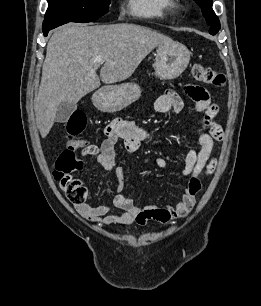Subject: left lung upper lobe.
<instances>
[{
  "mask_svg": "<svg viewBox=\"0 0 261 306\" xmlns=\"http://www.w3.org/2000/svg\"><path fill=\"white\" fill-rule=\"evenodd\" d=\"M200 7L207 23L210 25L209 33L215 35L220 29V22L212 9V0H194Z\"/></svg>",
  "mask_w": 261,
  "mask_h": 306,
  "instance_id": "1",
  "label": "left lung upper lobe"
}]
</instances>
